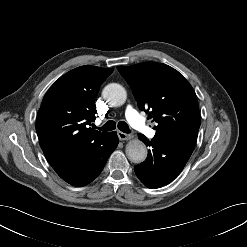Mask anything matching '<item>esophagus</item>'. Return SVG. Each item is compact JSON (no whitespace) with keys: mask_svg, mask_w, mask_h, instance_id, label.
<instances>
[{"mask_svg":"<svg viewBox=\"0 0 247 247\" xmlns=\"http://www.w3.org/2000/svg\"><path fill=\"white\" fill-rule=\"evenodd\" d=\"M117 135H118L120 140H130L133 138V136L131 134H126V133L121 132V131H118Z\"/></svg>","mask_w":247,"mask_h":247,"instance_id":"esophagus-1","label":"esophagus"}]
</instances>
